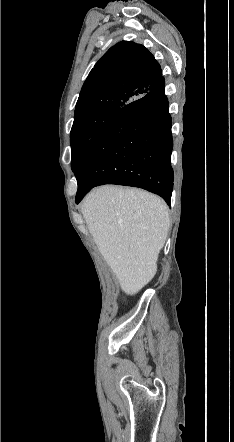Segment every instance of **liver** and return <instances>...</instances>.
<instances>
[{"label":"liver","instance_id":"liver-1","mask_svg":"<svg viewBox=\"0 0 234 442\" xmlns=\"http://www.w3.org/2000/svg\"><path fill=\"white\" fill-rule=\"evenodd\" d=\"M81 212L104 260L128 295L154 277L169 226V209L141 189L105 185L83 200Z\"/></svg>","mask_w":234,"mask_h":442}]
</instances>
